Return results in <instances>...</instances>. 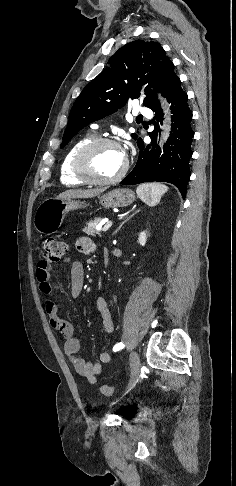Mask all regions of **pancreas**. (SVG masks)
<instances>
[{"instance_id": "1", "label": "pancreas", "mask_w": 236, "mask_h": 486, "mask_svg": "<svg viewBox=\"0 0 236 486\" xmlns=\"http://www.w3.org/2000/svg\"><path fill=\"white\" fill-rule=\"evenodd\" d=\"M102 218L98 217L93 221L87 223V227L83 229V232L90 236H96L100 234V231L96 229L97 224L101 222Z\"/></svg>"}]
</instances>
